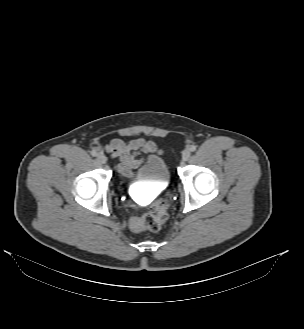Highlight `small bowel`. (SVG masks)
<instances>
[{
	"label": "small bowel",
	"instance_id": "obj_1",
	"mask_svg": "<svg viewBox=\"0 0 304 329\" xmlns=\"http://www.w3.org/2000/svg\"><path fill=\"white\" fill-rule=\"evenodd\" d=\"M112 158H118V172L126 179L132 178L134 170L138 169L144 158L140 157L141 153H157L159 152L153 141H147L144 138H135L129 142L115 138L104 147Z\"/></svg>",
	"mask_w": 304,
	"mask_h": 329
}]
</instances>
